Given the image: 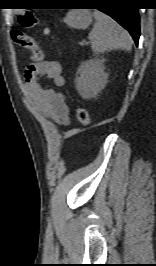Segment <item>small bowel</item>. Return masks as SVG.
<instances>
[{
	"instance_id": "c3829d8e",
	"label": "small bowel",
	"mask_w": 156,
	"mask_h": 266,
	"mask_svg": "<svg viewBox=\"0 0 156 266\" xmlns=\"http://www.w3.org/2000/svg\"><path fill=\"white\" fill-rule=\"evenodd\" d=\"M45 77L52 80L57 87L64 85L62 68L58 61L45 60L27 67L24 73L25 89L29 94L32 106L40 110L46 117L56 124L65 126L69 124V107L63 93L53 88L43 86L41 79Z\"/></svg>"
}]
</instances>
